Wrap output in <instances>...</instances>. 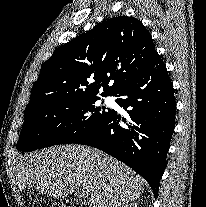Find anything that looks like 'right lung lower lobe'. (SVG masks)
Segmentation results:
<instances>
[{
  "mask_svg": "<svg viewBox=\"0 0 206 207\" xmlns=\"http://www.w3.org/2000/svg\"><path fill=\"white\" fill-rule=\"evenodd\" d=\"M127 111L125 118L115 111L92 132L75 143L98 148L141 175L158 196L167 152L175 126V98L166 66L158 55L137 78L113 95ZM125 122L120 126L119 122Z\"/></svg>",
  "mask_w": 206,
  "mask_h": 207,
  "instance_id": "right-lung-lower-lobe-1",
  "label": "right lung lower lobe"
}]
</instances>
